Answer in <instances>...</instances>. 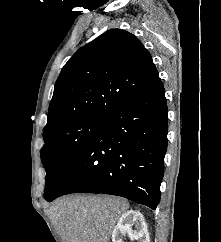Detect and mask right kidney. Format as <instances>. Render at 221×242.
I'll return each mask as SVG.
<instances>
[{
	"mask_svg": "<svg viewBox=\"0 0 221 242\" xmlns=\"http://www.w3.org/2000/svg\"><path fill=\"white\" fill-rule=\"evenodd\" d=\"M133 225L135 231L132 229ZM126 234L132 241L150 242L145 219L139 211L129 210L122 214L112 232V242H123L122 237Z\"/></svg>",
	"mask_w": 221,
	"mask_h": 242,
	"instance_id": "right-kidney-1",
	"label": "right kidney"
}]
</instances>
